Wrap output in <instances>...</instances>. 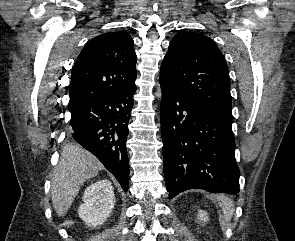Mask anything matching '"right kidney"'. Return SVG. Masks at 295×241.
<instances>
[{
	"label": "right kidney",
	"mask_w": 295,
	"mask_h": 241,
	"mask_svg": "<svg viewBox=\"0 0 295 241\" xmlns=\"http://www.w3.org/2000/svg\"><path fill=\"white\" fill-rule=\"evenodd\" d=\"M79 217L88 227L102 225L110 217L115 204L112 184L107 179L98 180L89 185L83 195Z\"/></svg>",
	"instance_id": "obj_1"
}]
</instances>
